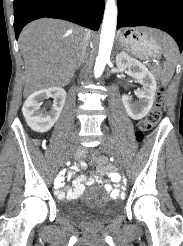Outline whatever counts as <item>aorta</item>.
<instances>
[{
  "instance_id": "obj_1",
  "label": "aorta",
  "mask_w": 183,
  "mask_h": 246,
  "mask_svg": "<svg viewBox=\"0 0 183 246\" xmlns=\"http://www.w3.org/2000/svg\"><path fill=\"white\" fill-rule=\"evenodd\" d=\"M116 24V0H107L100 35L99 52L94 67L95 77H100L102 75L106 63L110 60V54L115 37Z\"/></svg>"
}]
</instances>
